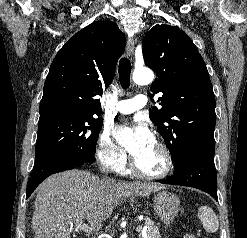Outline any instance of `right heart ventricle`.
<instances>
[{"instance_id": "obj_1", "label": "right heart ventricle", "mask_w": 247, "mask_h": 238, "mask_svg": "<svg viewBox=\"0 0 247 238\" xmlns=\"http://www.w3.org/2000/svg\"><path fill=\"white\" fill-rule=\"evenodd\" d=\"M119 171H121L122 173H127L128 172V170L125 168V166L122 167Z\"/></svg>"}]
</instances>
